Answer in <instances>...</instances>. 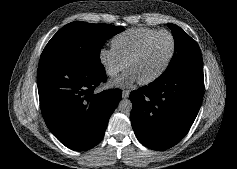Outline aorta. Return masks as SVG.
<instances>
[{
  "label": "aorta",
  "instance_id": "762f6f07",
  "mask_svg": "<svg viewBox=\"0 0 237 169\" xmlns=\"http://www.w3.org/2000/svg\"><path fill=\"white\" fill-rule=\"evenodd\" d=\"M118 110L121 113H130L132 110V102L129 99H122L118 104Z\"/></svg>",
  "mask_w": 237,
  "mask_h": 169
}]
</instances>
